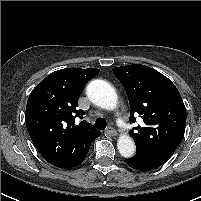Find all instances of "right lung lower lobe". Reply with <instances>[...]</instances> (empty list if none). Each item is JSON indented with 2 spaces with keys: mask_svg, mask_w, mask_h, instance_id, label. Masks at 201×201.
Returning <instances> with one entry per match:
<instances>
[{
  "mask_svg": "<svg viewBox=\"0 0 201 201\" xmlns=\"http://www.w3.org/2000/svg\"><path fill=\"white\" fill-rule=\"evenodd\" d=\"M89 148H90V147H89ZM89 148H88V151H89ZM88 151H87V153H88ZM87 153H86V155H87ZM86 155H85V157H86ZM85 157H84V159H85ZM84 159L82 160V162L84 161ZM82 162H81V163H82ZM81 163H80V164H81ZM80 164H79V165H80Z\"/></svg>",
  "mask_w": 201,
  "mask_h": 201,
  "instance_id": "obj_1",
  "label": "right lung lower lobe"
}]
</instances>
